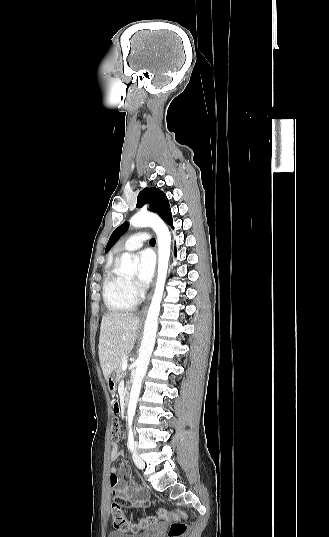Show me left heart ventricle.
I'll return each mask as SVG.
<instances>
[{
    "mask_svg": "<svg viewBox=\"0 0 329 537\" xmlns=\"http://www.w3.org/2000/svg\"><path fill=\"white\" fill-rule=\"evenodd\" d=\"M132 276H133V274H130V275H129V277H132Z\"/></svg>",
    "mask_w": 329,
    "mask_h": 537,
    "instance_id": "obj_1",
    "label": "left heart ventricle"
}]
</instances>
